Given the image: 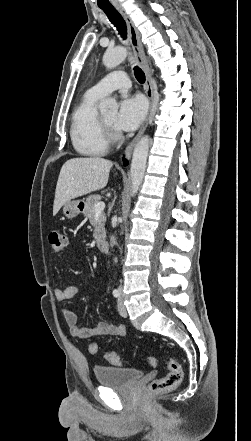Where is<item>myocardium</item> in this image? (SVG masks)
<instances>
[{
	"label": "myocardium",
	"instance_id": "1",
	"mask_svg": "<svg viewBox=\"0 0 251 441\" xmlns=\"http://www.w3.org/2000/svg\"><path fill=\"white\" fill-rule=\"evenodd\" d=\"M100 123H101L102 129H103L104 135L109 142H115V141H118L121 139L120 134L111 125H109L105 121L103 116H100Z\"/></svg>",
	"mask_w": 251,
	"mask_h": 441
}]
</instances>
